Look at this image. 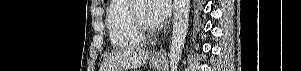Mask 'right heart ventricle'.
<instances>
[{
    "label": "right heart ventricle",
    "mask_w": 301,
    "mask_h": 71,
    "mask_svg": "<svg viewBox=\"0 0 301 71\" xmlns=\"http://www.w3.org/2000/svg\"><path fill=\"white\" fill-rule=\"evenodd\" d=\"M130 4L128 0H114L111 2L107 16V28L113 47L128 49L141 46L145 42L134 28L130 17Z\"/></svg>",
    "instance_id": "obj_1"
}]
</instances>
